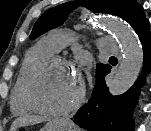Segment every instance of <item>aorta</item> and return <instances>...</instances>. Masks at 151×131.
<instances>
[{"label":"aorta","instance_id":"aorta-1","mask_svg":"<svg viewBox=\"0 0 151 131\" xmlns=\"http://www.w3.org/2000/svg\"><path fill=\"white\" fill-rule=\"evenodd\" d=\"M99 23L117 38L121 46L123 60L109 85L110 94L118 96L134 84L143 63V50L127 23L115 17L104 18Z\"/></svg>","mask_w":151,"mask_h":131}]
</instances>
